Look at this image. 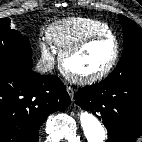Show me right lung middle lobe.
<instances>
[{
  "instance_id": "obj_1",
  "label": "right lung middle lobe",
  "mask_w": 142,
  "mask_h": 142,
  "mask_svg": "<svg viewBox=\"0 0 142 142\" xmlns=\"http://www.w3.org/2000/svg\"><path fill=\"white\" fill-rule=\"evenodd\" d=\"M32 50L29 40L10 28V19H0V68L32 69Z\"/></svg>"
}]
</instances>
